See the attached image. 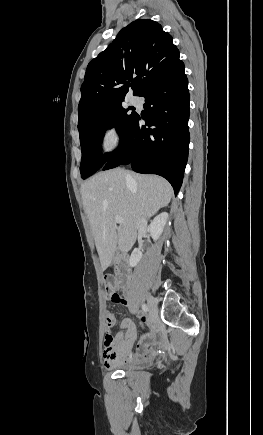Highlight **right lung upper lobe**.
<instances>
[{"mask_svg": "<svg viewBox=\"0 0 263 435\" xmlns=\"http://www.w3.org/2000/svg\"><path fill=\"white\" fill-rule=\"evenodd\" d=\"M182 61L172 36L150 19H138L87 66L78 106V128L124 101L130 89L141 96Z\"/></svg>", "mask_w": 263, "mask_h": 435, "instance_id": "1", "label": "right lung upper lobe"}]
</instances>
